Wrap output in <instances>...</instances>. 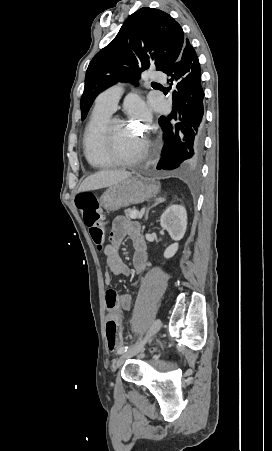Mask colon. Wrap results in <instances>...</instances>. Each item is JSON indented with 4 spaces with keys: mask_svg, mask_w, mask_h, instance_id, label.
I'll use <instances>...</instances> for the list:
<instances>
[{
    "mask_svg": "<svg viewBox=\"0 0 272 451\" xmlns=\"http://www.w3.org/2000/svg\"><path fill=\"white\" fill-rule=\"evenodd\" d=\"M76 206L80 209L83 221L90 228L92 240L99 248H102V240L104 238L103 230L99 225L102 219V211L100 210L99 199L92 193H82L75 198ZM106 346L110 352L121 347L122 340L119 338V325L114 319L107 318L105 324Z\"/></svg>",
    "mask_w": 272,
    "mask_h": 451,
    "instance_id": "obj_1",
    "label": "colon"
}]
</instances>
